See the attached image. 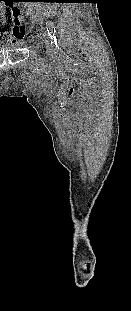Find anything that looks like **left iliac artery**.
Returning <instances> with one entry per match:
<instances>
[{
    "instance_id": "obj_1",
    "label": "left iliac artery",
    "mask_w": 131,
    "mask_h": 311,
    "mask_svg": "<svg viewBox=\"0 0 131 311\" xmlns=\"http://www.w3.org/2000/svg\"><path fill=\"white\" fill-rule=\"evenodd\" d=\"M46 27H47L48 34H49L50 38L52 39L51 43H53V45L56 48H59L58 44H57L56 29H55L54 23L52 21H48V22H46Z\"/></svg>"
}]
</instances>
